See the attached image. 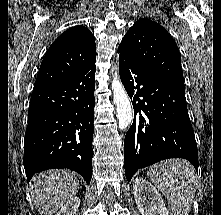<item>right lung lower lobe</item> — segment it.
Returning a JSON list of instances; mask_svg holds the SVG:
<instances>
[{
	"instance_id": "right-lung-lower-lobe-1",
	"label": "right lung lower lobe",
	"mask_w": 221,
	"mask_h": 215,
	"mask_svg": "<svg viewBox=\"0 0 221 215\" xmlns=\"http://www.w3.org/2000/svg\"><path fill=\"white\" fill-rule=\"evenodd\" d=\"M95 62L61 82L34 89L25 132L27 180L47 169L67 168L92 177Z\"/></svg>"
}]
</instances>
